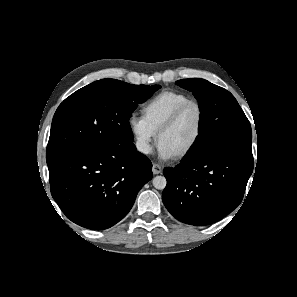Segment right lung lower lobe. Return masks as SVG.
Returning a JSON list of instances; mask_svg holds the SVG:
<instances>
[{"mask_svg":"<svg viewBox=\"0 0 297 297\" xmlns=\"http://www.w3.org/2000/svg\"><path fill=\"white\" fill-rule=\"evenodd\" d=\"M151 168L132 142L74 150L48 165L51 194L74 223L107 229L130 211Z\"/></svg>","mask_w":297,"mask_h":297,"instance_id":"obj_1","label":"right lung lower lobe"}]
</instances>
